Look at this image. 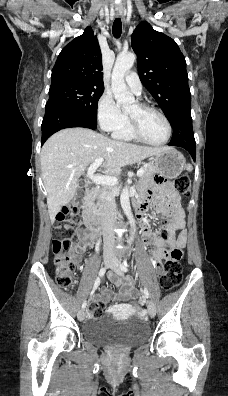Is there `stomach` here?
Segmentation results:
<instances>
[{
  "label": "stomach",
  "mask_w": 228,
  "mask_h": 396,
  "mask_svg": "<svg viewBox=\"0 0 228 396\" xmlns=\"http://www.w3.org/2000/svg\"><path fill=\"white\" fill-rule=\"evenodd\" d=\"M157 172L167 178H176L185 166L184 156L173 148H169L152 157Z\"/></svg>",
  "instance_id": "1"
}]
</instances>
